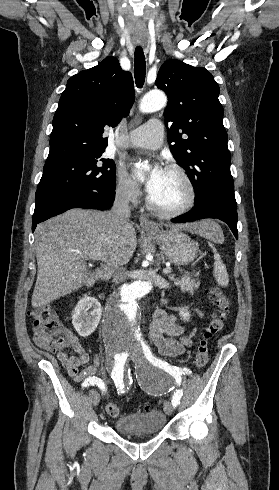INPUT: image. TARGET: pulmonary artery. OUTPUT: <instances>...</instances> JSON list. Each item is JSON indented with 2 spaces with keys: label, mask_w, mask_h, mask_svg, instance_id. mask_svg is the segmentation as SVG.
Instances as JSON below:
<instances>
[{
  "label": "pulmonary artery",
  "mask_w": 279,
  "mask_h": 490,
  "mask_svg": "<svg viewBox=\"0 0 279 490\" xmlns=\"http://www.w3.org/2000/svg\"><path fill=\"white\" fill-rule=\"evenodd\" d=\"M166 129V122H157L156 117H147L145 125L128 131L129 135L136 137H117L115 142L117 146L157 149L162 144L161 137H164Z\"/></svg>",
  "instance_id": "pulmonary-artery-1"
}]
</instances>
